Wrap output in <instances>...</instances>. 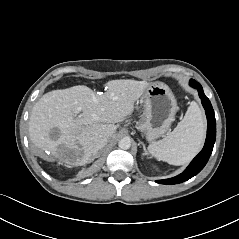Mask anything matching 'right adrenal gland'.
Wrapping results in <instances>:
<instances>
[{"label":"right adrenal gland","mask_w":239,"mask_h":239,"mask_svg":"<svg viewBox=\"0 0 239 239\" xmlns=\"http://www.w3.org/2000/svg\"><path fill=\"white\" fill-rule=\"evenodd\" d=\"M94 158H96V156H94L92 160H94Z\"/></svg>","instance_id":"1"}]
</instances>
